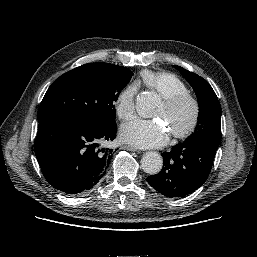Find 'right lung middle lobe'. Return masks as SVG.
Listing matches in <instances>:
<instances>
[{"instance_id":"dd1d6c3e","label":"right lung middle lobe","mask_w":257,"mask_h":257,"mask_svg":"<svg viewBox=\"0 0 257 257\" xmlns=\"http://www.w3.org/2000/svg\"><path fill=\"white\" fill-rule=\"evenodd\" d=\"M132 75L130 69L109 63H88L66 72L47 90L38 121L69 115L114 124V103Z\"/></svg>"}]
</instances>
